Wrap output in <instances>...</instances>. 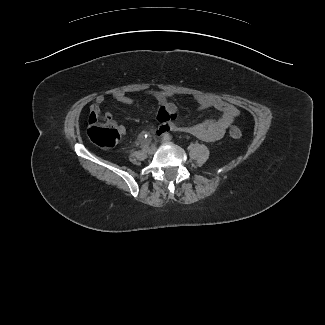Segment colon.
Wrapping results in <instances>:
<instances>
[{
  "label": "colon",
  "instance_id": "5ec220e1",
  "mask_svg": "<svg viewBox=\"0 0 325 325\" xmlns=\"http://www.w3.org/2000/svg\"><path fill=\"white\" fill-rule=\"evenodd\" d=\"M88 126V136L90 140L99 147L110 149L117 144L119 133L110 119L106 117L102 118L99 113L91 112ZM229 134L234 139L242 137V132L237 127L231 128Z\"/></svg>",
  "mask_w": 325,
  "mask_h": 325
}]
</instances>
